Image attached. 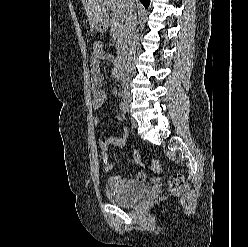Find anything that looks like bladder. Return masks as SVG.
I'll return each mask as SVG.
<instances>
[{
	"label": "bladder",
	"mask_w": 248,
	"mask_h": 247,
	"mask_svg": "<svg viewBox=\"0 0 248 247\" xmlns=\"http://www.w3.org/2000/svg\"><path fill=\"white\" fill-rule=\"evenodd\" d=\"M117 183L118 180L116 178H111L109 180L111 190L107 194L109 201L117 206L134 205L136 202L142 200L151 189L150 185H142L133 192L126 193L125 190L116 188Z\"/></svg>",
	"instance_id": "1"
}]
</instances>
